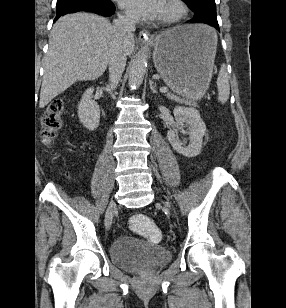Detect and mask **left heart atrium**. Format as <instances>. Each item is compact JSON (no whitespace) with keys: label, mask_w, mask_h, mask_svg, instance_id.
Listing matches in <instances>:
<instances>
[{"label":"left heart atrium","mask_w":286,"mask_h":308,"mask_svg":"<svg viewBox=\"0 0 286 308\" xmlns=\"http://www.w3.org/2000/svg\"><path fill=\"white\" fill-rule=\"evenodd\" d=\"M120 6L135 19L160 18L162 0H119Z\"/></svg>","instance_id":"39dd6f15"}]
</instances>
